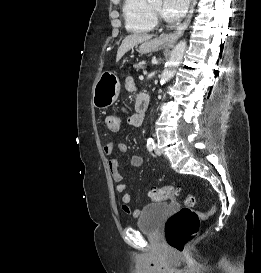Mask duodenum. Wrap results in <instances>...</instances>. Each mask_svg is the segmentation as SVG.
<instances>
[{
    "label": "duodenum",
    "mask_w": 261,
    "mask_h": 273,
    "mask_svg": "<svg viewBox=\"0 0 261 273\" xmlns=\"http://www.w3.org/2000/svg\"><path fill=\"white\" fill-rule=\"evenodd\" d=\"M149 104V97L146 94L140 95L136 100V112L133 115V125L140 126L144 120L145 110Z\"/></svg>",
    "instance_id": "obj_1"
}]
</instances>
